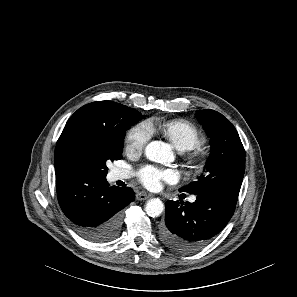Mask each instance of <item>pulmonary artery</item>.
Masks as SVG:
<instances>
[{
    "label": "pulmonary artery",
    "instance_id": "e3ab8cb5",
    "mask_svg": "<svg viewBox=\"0 0 297 297\" xmlns=\"http://www.w3.org/2000/svg\"><path fill=\"white\" fill-rule=\"evenodd\" d=\"M111 177L114 181L124 180V179L129 178V173L124 170H121V169H114L111 172ZM195 200H196V197H194V196L190 198L191 202H194Z\"/></svg>",
    "mask_w": 297,
    "mask_h": 297
}]
</instances>
